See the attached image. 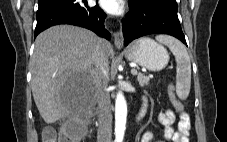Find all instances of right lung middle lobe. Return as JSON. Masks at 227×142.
<instances>
[{
    "mask_svg": "<svg viewBox=\"0 0 227 142\" xmlns=\"http://www.w3.org/2000/svg\"><path fill=\"white\" fill-rule=\"evenodd\" d=\"M56 1H59V0H38V4H39V6H42V5L50 4V3H53Z\"/></svg>",
    "mask_w": 227,
    "mask_h": 142,
    "instance_id": "obj_1",
    "label": "right lung middle lobe"
}]
</instances>
